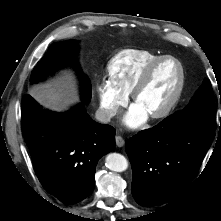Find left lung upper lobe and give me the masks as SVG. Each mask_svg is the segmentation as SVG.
<instances>
[{
    "label": "left lung upper lobe",
    "instance_id": "left-lung-upper-lobe-1",
    "mask_svg": "<svg viewBox=\"0 0 221 221\" xmlns=\"http://www.w3.org/2000/svg\"><path fill=\"white\" fill-rule=\"evenodd\" d=\"M171 127L216 129L214 96L209 80H205L191 102L181 111L165 119Z\"/></svg>",
    "mask_w": 221,
    "mask_h": 221
}]
</instances>
